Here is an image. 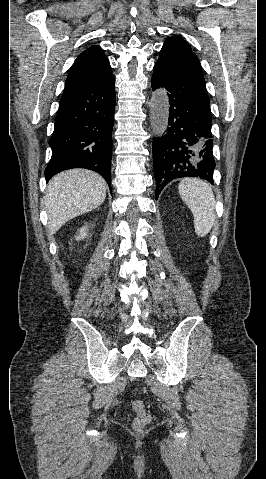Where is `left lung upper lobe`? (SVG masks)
Instances as JSON below:
<instances>
[{
    "label": "left lung upper lobe",
    "instance_id": "obj_1",
    "mask_svg": "<svg viewBox=\"0 0 266 479\" xmlns=\"http://www.w3.org/2000/svg\"><path fill=\"white\" fill-rule=\"evenodd\" d=\"M156 63L163 65L187 81L206 89L199 59L183 38L174 36L167 39Z\"/></svg>",
    "mask_w": 266,
    "mask_h": 479
}]
</instances>
